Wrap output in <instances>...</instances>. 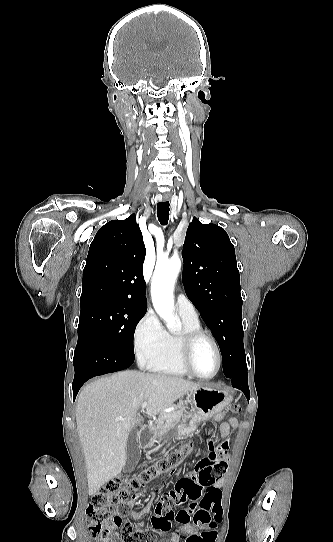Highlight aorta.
Listing matches in <instances>:
<instances>
[{"label":"aorta","mask_w":333,"mask_h":542,"mask_svg":"<svg viewBox=\"0 0 333 542\" xmlns=\"http://www.w3.org/2000/svg\"><path fill=\"white\" fill-rule=\"evenodd\" d=\"M181 260L177 256L170 258L169 262L156 266L152 284L151 296L158 316L166 322V328L177 332L180 326L178 316L174 314L173 286L180 272Z\"/></svg>","instance_id":"762f6f07"}]
</instances>
